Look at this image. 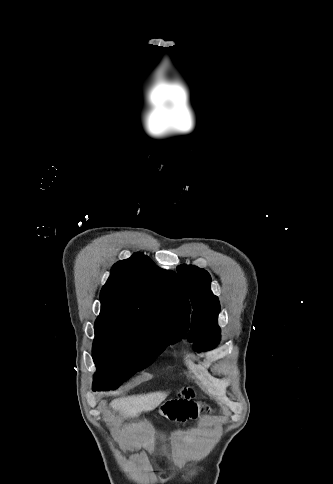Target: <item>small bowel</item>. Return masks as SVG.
Wrapping results in <instances>:
<instances>
[{
  "label": "small bowel",
  "mask_w": 333,
  "mask_h": 484,
  "mask_svg": "<svg viewBox=\"0 0 333 484\" xmlns=\"http://www.w3.org/2000/svg\"><path fill=\"white\" fill-rule=\"evenodd\" d=\"M192 388H184L175 398L165 401L157 412L159 419L182 423L207 412V407L194 400Z\"/></svg>",
  "instance_id": "c3829d8e"
}]
</instances>
